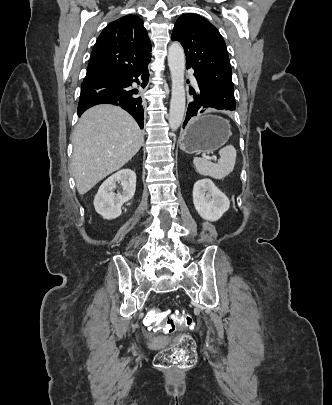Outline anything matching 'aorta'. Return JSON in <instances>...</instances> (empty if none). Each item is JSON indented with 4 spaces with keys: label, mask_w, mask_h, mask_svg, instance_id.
Masks as SVG:
<instances>
[{
    "label": "aorta",
    "mask_w": 332,
    "mask_h": 405,
    "mask_svg": "<svg viewBox=\"0 0 332 405\" xmlns=\"http://www.w3.org/2000/svg\"><path fill=\"white\" fill-rule=\"evenodd\" d=\"M168 65L172 80V93L170 101L169 125L172 131L179 128L185 114V54L180 43L173 42L168 49Z\"/></svg>",
    "instance_id": "obj_1"
}]
</instances>
